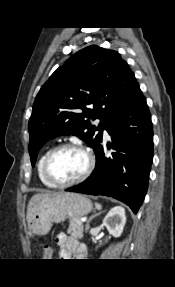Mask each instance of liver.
Returning a JSON list of instances; mask_svg holds the SVG:
<instances>
[{"label":"liver","instance_id":"liver-1","mask_svg":"<svg viewBox=\"0 0 175 287\" xmlns=\"http://www.w3.org/2000/svg\"><path fill=\"white\" fill-rule=\"evenodd\" d=\"M60 193H38L35 194L34 196H32V198L30 199L29 203H28V211L39 201H41L42 199L46 198V197H50V196H54V195H58ZM27 211V212H28Z\"/></svg>","mask_w":175,"mask_h":287}]
</instances>
